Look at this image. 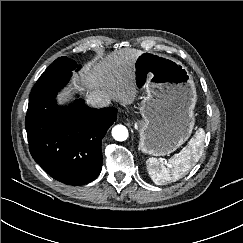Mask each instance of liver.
<instances>
[{
    "label": "liver",
    "instance_id": "6515ba94",
    "mask_svg": "<svg viewBox=\"0 0 243 243\" xmlns=\"http://www.w3.org/2000/svg\"><path fill=\"white\" fill-rule=\"evenodd\" d=\"M140 54L141 50L123 48L108 54L98 62L87 64L79 73V77L76 76V82L79 83L75 82L74 88L102 90L123 105L132 104L138 93L134 63ZM69 96L70 90H64L58 95V103L64 104Z\"/></svg>",
    "mask_w": 243,
    "mask_h": 243
}]
</instances>
